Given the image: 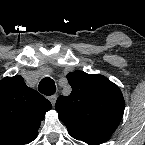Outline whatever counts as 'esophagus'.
<instances>
[{
	"label": "esophagus",
	"mask_w": 145,
	"mask_h": 145,
	"mask_svg": "<svg viewBox=\"0 0 145 145\" xmlns=\"http://www.w3.org/2000/svg\"><path fill=\"white\" fill-rule=\"evenodd\" d=\"M49 101L51 102L52 106H55L57 95H51L48 97Z\"/></svg>",
	"instance_id": "1"
}]
</instances>
